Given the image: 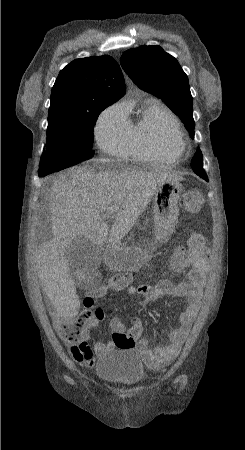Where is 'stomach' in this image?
<instances>
[{"label":"stomach","mask_w":245,"mask_h":450,"mask_svg":"<svg viewBox=\"0 0 245 450\" xmlns=\"http://www.w3.org/2000/svg\"><path fill=\"white\" fill-rule=\"evenodd\" d=\"M182 184L172 179L160 183L153 198V220L156 237L164 242L176 226ZM152 251L122 243L111 244L104 253L105 262L116 271H135L146 265Z\"/></svg>","instance_id":"obj_1"}]
</instances>
